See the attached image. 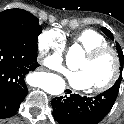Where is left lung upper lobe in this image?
<instances>
[{
  "mask_svg": "<svg viewBox=\"0 0 124 124\" xmlns=\"http://www.w3.org/2000/svg\"><path fill=\"white\" fill-rule=\"evenodd\" d=\"M102 31L113 40L112 33L107 28L103 27ZM116 49H117L118 56H119V59H120L121 68H120V76H119L118 80L116 81L114 87H117L119 89L120 82L122 80V68H123V63H124V56H123L122 49H121L120 45L117 42H116Z\"/></svg>",
  "mask_w": 124,
  "mask_h": 124,
  "instance_id": "1",
  "label": "left lung upper lobe"
}]
</instances>
